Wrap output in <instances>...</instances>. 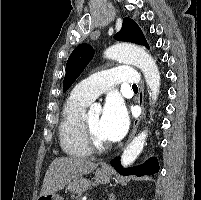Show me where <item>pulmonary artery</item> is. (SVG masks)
Returning a JSON list of instances; mask_svg holds the SVG:
<instances>
[{
	"label": "pulmonary artery",
	"instance_id": "obj_1",
	"mask_svg": "<svg viewBox=\"0 0 201 200\" xmlns=\"http://www.w3.org/2000/svg\"><path fill=\"white\" fill-rule=\"evenodd\" d=\"M139 76L136 71L127 65L99 72L78 83L72 94L86 101H93L117 83L137 84Z\"/></svg>",
	"mask_w": 201,
	"mask_h": 200
}]
</instances>
